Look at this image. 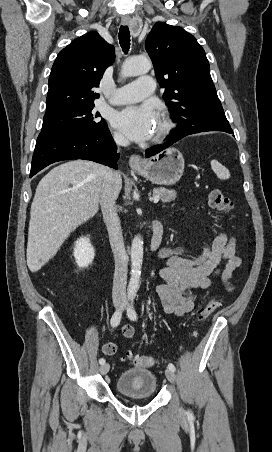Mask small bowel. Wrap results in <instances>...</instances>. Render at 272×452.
I'll return each instance as SVG.
<instances>
[{"label":"small bowel","mask_w":272,"mask_h":452,"mask_svg":"<svg viewBox=\"0 0 272 452\" xmlns=\"http://www.w3.org/2000/svg\"><path fill=\"white\" fill-rule=\"evenodd\" d=\"M184 253V247H166L159 254L164 263L160 270L163 282L156 292L167 314L182 316L193 311L196 306L193 291L209 288L212 277H219L230 291L229 280L242 262L236 254L234 238L224 233L217 235L196 256L186 258ZM222 263L224 266L220 267ZM121 333L127 339L135 337V330L130 325L122 326ZM102 351L107 356L115 355L118 344L105 343Z\"/></svg>","instance_id":"1"}]
</instances>
